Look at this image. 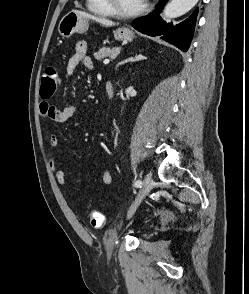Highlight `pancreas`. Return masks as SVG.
<instances>
[{"label":"pancreas","mask_w":249,"mask_h":294,"mask_svg":"<svg viewBox=\"0 0 249 294\" xmlns=\"http://www.w3.org/2000/svg\"><path fill=\"white\" fill-rule=\"evenodd\" d=\"M120 49L117 47L114 48H101L96 53H94V57L96 60L101 61L104 58L112 57L118 55Z\"/></svg>","instance_id":"cf45deb5"}]
</instances>
